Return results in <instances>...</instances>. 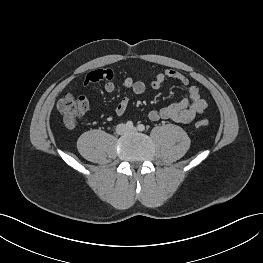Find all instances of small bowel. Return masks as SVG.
<instances>
[{
	"instance_id": "small-bowel-1",
	"label": "small bowel",
	"mask_w": 263,
	"mask_h": 263,
	"mask_svg": "<svg viewBox=\"0 0 263 263\" xmlns=\"http://www.w3.org/2000/svg\"><path fill=\"white\" fill-rule=\"evenodd\" d=\"M167 79L176 80L186 86L188 97L179 103H174L161 109L150 111L148 113V118L152 121L164 119L182 124L192 122L194 118L203 113L207 107V103L202 99L198 87L191 85L189 79L179 71L165 69L154 77L151 82V88L153 90L160 89ZM101 80L106 81L104 89L107 93H113L116 90L117 78L115 72L110 68L88 72L82 80V86L87 88ZM121 85L122 87L131 90L135 95H142L147 91V86L144 82L134 80L131 77L124 78ZM128 104L129 100L123 98L116 107V114L118 116L124 115Z\"/></svg>"
}]
</instances>
